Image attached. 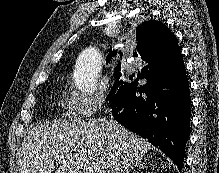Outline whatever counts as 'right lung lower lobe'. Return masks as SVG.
<instances>
[{"label":"right lung lower lobe","instance_id":"98d812e1","mask_svg":"<svg viewBox=\"0 0 219 173\" xmlns=\"http://www.w3.org/2000/svg\"><path fill=\"white\" fill-rule=\"evenodd\" d=\"M110 104L117 122L148 139L183 168L190 131L191 102L183 59L173 64L155 58Z\"/></svg>","mask_w":219,"mask_h":173}]
</instances>
